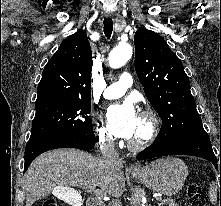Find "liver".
Returning a JSON list of instances; mask_svg holds the SVG:
<instances>
[{
	"instance_id": "obj_1",
	"label": "liver",
	"mask_w": 221,
	"mask_h": 206,
	"mask_svg": "<svg viewBox=\"0 0 221 206\" xmlns=\"http://www.w3.org/2000/svg\"><path fill=\"white\" fill-rule=\"evenodd\" d=\"M123 164L122 160L94 157L75 149L43 153L32 162L24 176L26 206H32L56 190L69 191L71 187L85 190L100 187L105 194L119 197L125 189Z\"/></svg>"
}]
</instances>
